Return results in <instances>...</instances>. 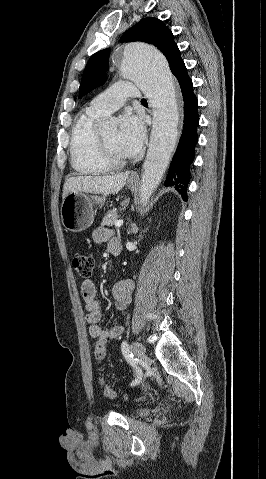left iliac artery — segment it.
<instances>
[{
	"instance_id": "left-iliac-artery-1",
	"label": "left iliac artery",
	"mask_w": 266,
	"mask_h": 479,
	"mask_svg": "<svg viewBox=\"0 0 266 479\" xmlns=\"http://www.w3.org/2000/svg\"><path fill=\"white\" fill-rule=\"evenodd\" d=\"M121 351L122 354L124 355L125 359L134 367V371L137 372V378L132 381L131 386H135L138 383H140L141 380H143L144 376V370L142 366H140V362L134 361L133 354L129 350V346L126 341H123L121 344Z\"/></svg>"
}]
</instances>
